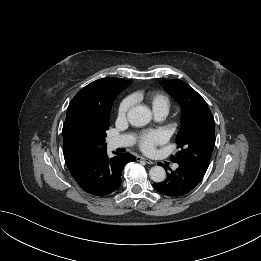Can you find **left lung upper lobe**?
<instances>
[{
    "label": "left lung upper lobe",
    "instance_id": "left-lung-upper-lobe-1",
    "mask_svg": "<svg viewBox=\"0 0 261 261\" xmlns=\"http://www.w3.org/2000/svg\"><path fill=\"white\" fill-rule=\"evenodd\" d=\"M164 89L182 108V122L176 143L181 149L172 161L188 167L203 178L215 145L214 119L206 101L179 79L162 82Z\"/></svg>",
    "mask_w": 261,
    "mask_h": 261
}]
</instances>
